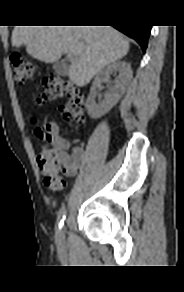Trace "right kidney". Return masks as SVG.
<instances>
[{"mask_svg": "<svg viewBox=\"0 0 184 292\" xmlns=\"http://www.w3.org/2000/svg\"><path fill=\"white\" fill-rule=\"evenodd\" d=\"M119 73L118 77L110 83L108 92L105 93L104 99L95 102L97 89L101 87L102 82L109 81L110 75ZM133 76L129 63L125 61H115L101 70L95 77L90 89V94L86 102L88 115L97 119L105 115L125 93Z\"/></svg>", "mask_w": 184, "mask_h": 292, "instance_id": "right-kidney-1", "label": "right kidney"}]
</instances>
